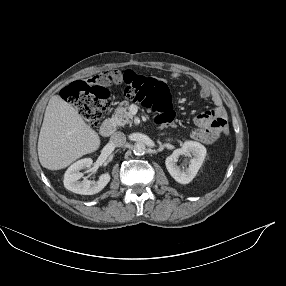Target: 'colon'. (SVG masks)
I'll list each match as a JSON object with an SVG mask.
<instances>
[{"label": "colon", "mask_w": 286, "mask_h": 286, "mask_svg": "<svg viewBox=\"0 0 286 286\" xmlns=\"http://www.w3.org/2000/svg\"><path fill=\"white\" fill-rule=\"evenodd\" d=\"M121 80L125 84V96H141L143 103L158 110L157 120L171 122L175 117L171 96L167 85L157 79L146 78L132 71L123 73L107 72L92 84L76 81L63 90V99L79 108L81 115L89 125L96 128L102 115L110 106L111 96L105 84H114ZM191 136L200 142L216 144L227 133L225 122L216 114L208 113L195 117L189 126Z\"/></svg>", "instance_id": "1"}]
</instances>
